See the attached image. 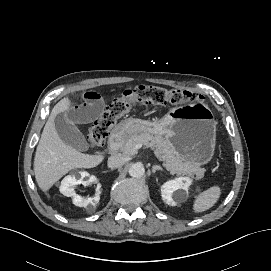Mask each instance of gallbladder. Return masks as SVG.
Wrapping results in <instances>:
<instances>
[{"mask_svg":"<svg viewBox=\"0 0 271 271\" xmlns=\"http://www.w3.org/2000/svg\"><path fill=\"white\" fill-rule=\"evenodd\" d=\"M55 126L64 143L78 151H87L89 149V144L82 132L74 123L69 122L64 115L59 114L55 118Z\"/></svg>","mask_w":271,"mask_h":271,"instance_id":"1","label":"gallbladder"}]
</instances>
